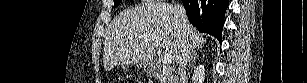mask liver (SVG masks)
Returning a JSON list of instances; mask_svg holds the SVG:
<instances>
[{"label": "liver", "mask_w": 307, "mask_h": 83, "mask_svg": "<svg viewBox=\"0 0 307 83\" xmlns=\"http://www.w3.org/2000/svg\"><path fill=\"white\" fill-rule=\"evenodd\" d=\"M180 24L181 19L172 4L149 3L121 13L112 21L107 32L103 55L105 68L116 64L145 66L158 50L156 39L163 44L164 55H170L177 62ZM186 34L194 48H202L206 42L189 23Z\"/></svg>", "instance_id": "1"}]
</instances>
